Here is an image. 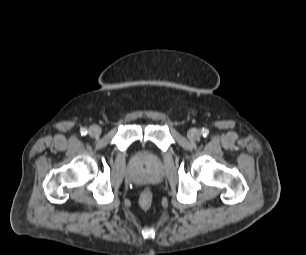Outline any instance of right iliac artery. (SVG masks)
<instances>
[{
	"label": "right iliac artery",
	"instance_id": "82829eb1",
	"mask_svg": "<svg viewBox=\"0 0 306 255\" xmlns=\"http://www.w3.org/2000/svg\"><path fill=\"white\" fill-rule=\"evenodd\" d=\"M80 132H81V135L84 136V135L87 134V129L86 128H81Z\"/></svg>",
	"mask_w": 306,
	"mask_h": 255
}]
</instances>
